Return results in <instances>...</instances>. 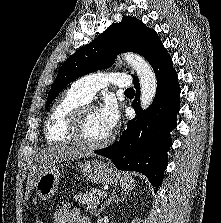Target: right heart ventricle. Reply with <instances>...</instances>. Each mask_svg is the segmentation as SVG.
Wrapping results in <instances>:
<instances>
[{"label": "right heart ventricle", "instance_id": "1", "mask_svg": "<svg viewBox=\"0 0 221 223\" xmlns=\"http://www.w3.org/2000/svg\"><path fill=\"white\" fill-rule=\"evenodd\" d=\"M86 101L71 88L63 92L54 102L44 125L45 138L50 143H70L66 128L71 113Z\"/></svg>", "mask_w": 221, "mask_h": 223}]
</instances>
